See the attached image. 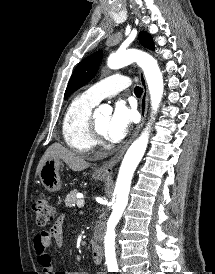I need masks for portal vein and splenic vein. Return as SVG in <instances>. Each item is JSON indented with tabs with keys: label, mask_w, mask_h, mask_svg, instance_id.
Segmentation results:
<instances>
[{
	"label": "portal vein and splenic vein",
	"mask_w": 215,
	"mask_h": 274,
	"mask_svg": "<svg viewBox=\"0 0 215 274\" xmlns=\"http://www.w3.org/2000/svg\"><path fill=\"white\" fill-rule=\"evenodd\" d=\"M84 204H85V202H84V200H82V199H80V200L77 201V206H78L79 208L83 207Z\"/></svg>",
	"instance_id": "18ae733b"
}]
</instances>
